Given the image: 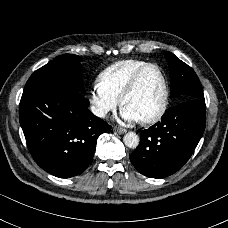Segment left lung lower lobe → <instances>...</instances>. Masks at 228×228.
Returning <instances> with one entry per match:
<instances>
[{
    "mask_svg": "<svg viewBox=\"0 0 228 228\" xmlns=\"http://www.w3.org/2000/svg\"><path fill=\"white\" fill-rule=\"evenodd\" d=\"M205 100L190 99L167 110L161 121L140 132V143L130 155L143 175L164 178L191 157L206 122Z\"/></svg>",
    "mask_w": 228,
    "mask_h": 228,
    "instance_id": "obj_1",
    "label": "left lung lower lobe"
}]
</instances>
